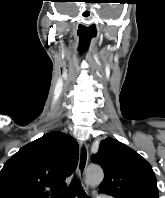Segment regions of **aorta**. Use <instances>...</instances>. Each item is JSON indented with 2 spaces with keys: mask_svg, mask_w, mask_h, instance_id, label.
Listing matches in <instances>:
<instances>
[{
  "mask_svg": "<svg viewBox=\"0 0 165 198\" xmlns=\"http://www.w3.org/2000/svg\"><path fill=\"white\" fill-rule=\"evenodd\" d=\"M104 179V173L100 166L91 165L86 171V182L92 187L99 186Z\"/></svg>",
  "mask_w": 165,
  "mask_h": 198,
  "instance_id": "1",
  "label": "aorta"
}]
</instances>
